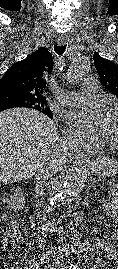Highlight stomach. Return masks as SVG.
I'll return each mask as SVG.
<instances>
[{"label":"stomach","mask_w":118,"mask_h":269,"mask_svg":"<svg viewBox=\"0 0 118 269\" xmlns=\"http://www.w3.org/2000/svg\"><path fill=\"white\" fill-rule=\"evenodd\" d=\"M91 172L100 177L114 176L118 173V162L111 157H99L94 163L88 165Z\"/></svg>","instance_id":"obj_1"}]
</instances>
